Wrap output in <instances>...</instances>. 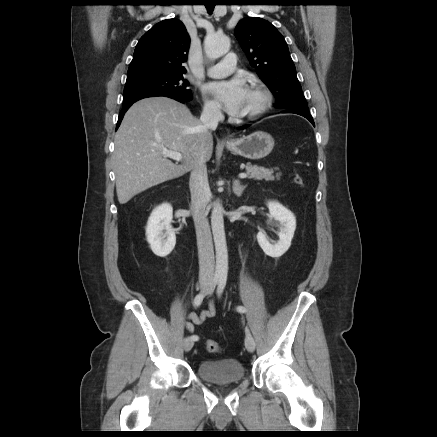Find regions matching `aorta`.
Here are the masks:
<instances>
[{"instance_id":"obj_1","label":"aorta","mask_w":437,"mask_h":437,"mask_svg":"<svg viewBox=\"0 0 437 437\" xmlns=\"http://www.w3.org/2000/svg\"><path fill=\"white\" fill-rule=\"evenodd\" d=\"M204 49L209 59H217L230 49V39L226 35L207 36ZM224 209L220 203H215L211 213V226L216 252L217 277L226 278L228 273V251L224 230Z\"/></svg>"}]
</instances>
